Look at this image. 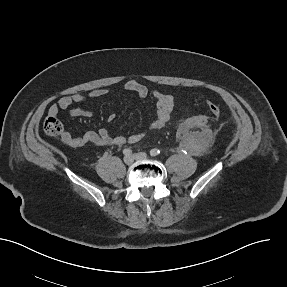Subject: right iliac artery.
<instances>
[{"label":"right iliac artery","instance_id":"1","mask_svg":"<svg viewBox=\"0 0 287 287\" xmlns=\"http://www.w3.org/2000/svg\"><path fill=\"white\" fill-rule=\"evenodd\" d=\"M123 154L124 155H131L132 154V150L129 149V148H126V149L123 150Z\"/></svg>","mask_w":287,"mask_h":287}]
</instances>
